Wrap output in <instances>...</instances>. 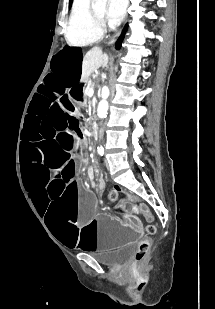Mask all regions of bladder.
Here are the masks:
<instances>
[{"mask_svg":"<svg viewBox=\"0 0 215 309\" xmlns=\"http://www.w3.org/2000/svg\"><path fill=\"white\" fill-rule=\"evenodd\" d=\"M136 251L135 246L128 245L112 253L100 254L96 259L102 265L118 268L129 263L136 254Z\"/></svg>","mask_w":215,"mask_h":309,"instance_id":"obj_1","label":"bladder"}]
</instances>
